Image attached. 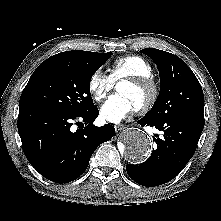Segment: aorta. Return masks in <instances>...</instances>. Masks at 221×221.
Instances as JSON below:
<instances>
[{"label":"aorta","instance_id":"1","mask_svg":"<svg viewBox=\"0 0 221 221\" xmlns=\"http://www.w3.org/2000/svg\"><path fill=\"white\" fill-rule=\"evenodd\" d=\"M122 155L130 162L139 164L147 160L151 153V141L143 131L130 128L123 137Z\"/></svg>","mask_w":221,"mask_h":221}]
</instances>
